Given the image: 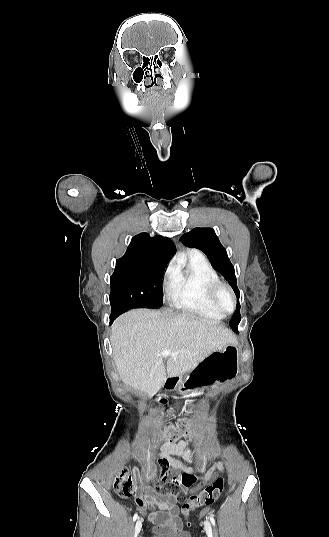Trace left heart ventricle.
I'll return each mask as SVG.
<instances>
[{"label": "left heart ventricle", "instance_id": "obj_1", "mask_svg": "<svg viewBox=\"0 0 329 537\" xmlns=\"http://www.w3.org/2000/svg\"><path fill=\"white\" fill-rule=\"evenodd\" d=\"M220 305L227 311H230L233 306V300L230 294L226 291H222L219 295Z\"/></svg>", "mask_w": 329, "mask_h": 537}]
</instances>
